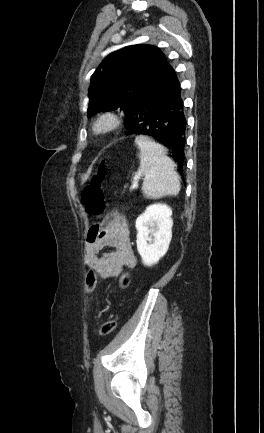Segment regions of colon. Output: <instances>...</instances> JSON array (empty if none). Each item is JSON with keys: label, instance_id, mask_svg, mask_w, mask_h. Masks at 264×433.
<instances>
[{"label": "colon", "instance_id": "obj_1", "mask_svg": "<svg viewBox=\"0 0 264 433\" xmlns=\"http://www.w3.org/2000/svg\"><path fill=\"white\" fill-rule=\"evenodd\" d=\"M106 163L101 161L97 164L91 179L83 190L82 199L87 211L94 217H101L107 207L105 197L102 190V184L105 177ZM130 284V276L124 272L119 277V286L125 289ZM97 285V275L93 270H90L85 278V291L92 293ZM116 328V320L110 318L106 320L99 328L98 333L101 336L111 334Z\"/></svg>", "mask_w": 264, "mask_h": 433}]
</instances>
